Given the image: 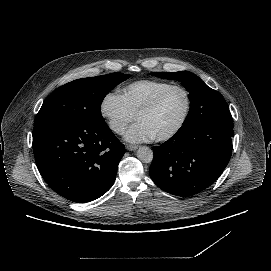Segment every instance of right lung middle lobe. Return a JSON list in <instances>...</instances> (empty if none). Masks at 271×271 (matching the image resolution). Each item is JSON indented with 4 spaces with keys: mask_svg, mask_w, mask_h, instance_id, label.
<instances>
[{
    "mask_svg": "<svg viewBox=\"0 0 271 271\" xmlns=\"http://www.w3.org/2000/svg\"><path fill=\"white\" fill-rule=\"evenodd\" d=\"M129 77L117 72L77 79L59 87L44 101L34 125L48 120L104 121L100 112L104 97Z\"/></svg>",
    "mask_w": 271,
    "mask_h": 271,
    "instance_id": "1",
    "label": "right lung middle lobe"
}]
</instances>
